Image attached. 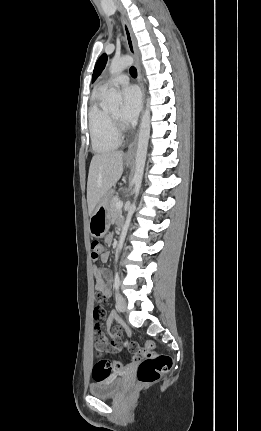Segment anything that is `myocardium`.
Segmentation results:
<instances>
[{
  "instance_id": "f54148a6",
  "label": "myocardium",
  "mask_w": 261,
  "mask_h": 431,
  "mask_svg": "<svg viewBox=\"0 0 261 431\" xmlns=\"http://www.w3.org/2000/svg\"><path fill=\"white\" fill-rule=\"evenodd\" d=\"M109 116H110V120H111V122H112V124H113V126H114V128H115V130L117 131V133L120 135L121 134V132H122V127H121V125L119 124V121H118V119L117 118H115L112 114H110L109 113Z\"/></svg>"
}]
</instances>
